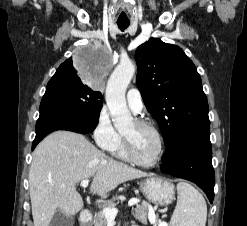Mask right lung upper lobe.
I'll return each instance as SVG.
<instances>
[{"label": "right lung upper lobe", "instance_id": "1", "mask_svg": "<svg viewBox=\"0 0 247 226\" xmlns=\"http://www.w3.org/2000/svg\"><path fill=\"white\" fill-rule=\"evenodd\" d=\"M71 64H72V59L69 58V59H67L64 63H62V64L59 66V68L57 69V71L64 70V69L70 67Z\"/></svg>", "mask_w": 247, "mask_h": 226}]
</instances>
